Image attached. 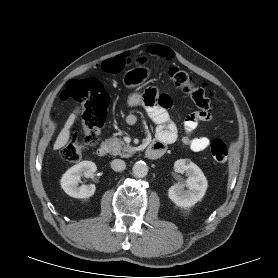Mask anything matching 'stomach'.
I'll use <instances>...</instances> for the list:
<instances>
[{"label": "stomach", "mask_w": 278, "mask_h": 278, "mask_svg": "<svg viewBox=\"0 0 278 278\" xmlns=\"http://www.w3.org/2000/svg\"><path fill=\"white\" fill-rule=\"evenodd\" d=\"M150 76V69L147 67H134L126 71L123 83L128 88L141 85Z\"/></svg>", "instance_id": "stomach-1"}]
</instances>
